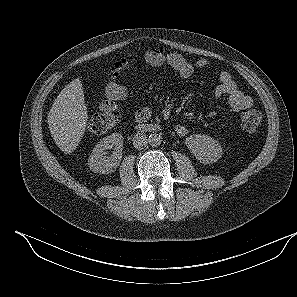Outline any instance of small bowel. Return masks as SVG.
Here are the masks:
<instances>
[{"instance_id": "c3829d8e", "label": "small bowel", "mask_w": 297, "mask_h": 297, "mask_svg": "<svg viewBox=\"0 0 297 297\" xmlns=\"http://www.w3.org/2000/svg\"><path fill=\"white\" fill-rule=\"evenodd\" d=\"M144 59L147 64L153 67L167 66L174 70L183 78H188L193 75L195 70L205 68L210 65L209 60L202 58L195 62H190L177 53L164 52L159 49H150ZM107 101L102 104V109H113L120 111L119 102L129 98L130 90L121 84L110 82L105 87ZM215 96L220 98L227 97L228 106L236 112L246 110L253 105L252 98L243 93L232 79L227 71H223L219 75V84L215 89ZM214 112H211L213 114ZM152 111L149 107H143L136 111L134 120L136 122H144L151 117ZM175 131L179 136L188 134V129L182 124L175 126Z\"/></svg>"}]
</instances>
